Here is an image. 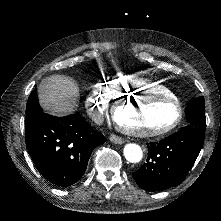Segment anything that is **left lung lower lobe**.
Listing matches in <instances>:
<instances>
[{
	"label": "left lung lower lobe",
	"mask_w": 221,
	"mask_h": 221,
	"mask_svg": "<svg viewBox=\"0 0 221 221\" xmlns=\"http://www.w3.org/2000/svg\"><path fill=\"white\" fill-rule=\"evenodd\" d=\"M204 132L189 125L160 142L147 144V162L132 174L137 185L159 191L181 184L202 148Z\"/></svg>",
	"instance_id": "obj_1"
}]
</instances>
